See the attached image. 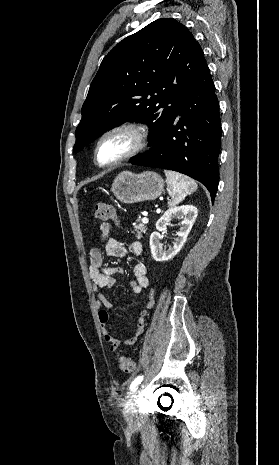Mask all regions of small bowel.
Masks as SVG:
<instances>
[{
  "mask_svg": "<svg viewBox=\"0 0 279 465\" xmlns=\"http://www.w3.org/2000/svg\"><path fill=\"white\" fill-rule=\"evenodd\" d=\"M101 241L104 243V252L108 257L121 258L128 252L134 256H140L142 253V245L139 241H133L127 246L113 236V229L110 223L103 222L100 227ZM123 269L117 266H105L103 264V255L99 248L93 247L89 251V276L92 280V288L97 296L98 320L101 327V332L104 341L107 343L109 351L114 352L123 342L126 345H133L139 336L143 333L145 325V317L147 309H150L154 304V294L150 291L147 295L145 309L139 314L136 323V329L133 336L121 340L113 335L108 328L109 310L112 304L101 292L102 289L112 288L116 283L115 276L121 274ZM133 274L135 280L130 286L135 294L141 293L144 289L149 288V277L146 267L143 263L138 262L133 266Z\"/></svg>",
  "mask_w": 279,
  "mask_h": 465,
  "instance_id": "obj_1",
  "label": "small bowel"
}]
</instances>
